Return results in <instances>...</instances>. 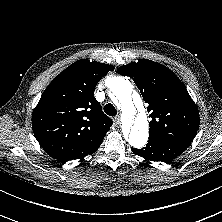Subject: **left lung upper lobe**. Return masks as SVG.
Instances as JSON below:
<instances>
[{"label":"left lung upper lobe","instance_id":"5c2ea615","mask_svg":"<svg viewBox=\"0 0 222 222\" xmlns=\"http://www.w3.org/2000/svg\"><path fill=\"white\" fill-rule=\"evenodd\" d=\"M117 73L132 78L148 103L152 120L149 139L192 142L199 128V111L185 85L167 67L147 59L123 65Z\"/></svg>","mask_w":222,"mask_h":222}]
</instances>
